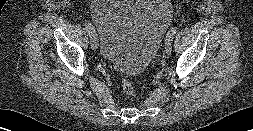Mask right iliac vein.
I'll use <instances>...</instances> for the list:
<instances>
[{
    "instance_id": "obj_1",
    "label": "right iliac vein",
    "mask_w": 253,
    "mask_h": 131,
    "mask_svg": "<svg viewBox=\"0 0 253 131\" xmlns=\"http://www.w3.org/2000/svg\"><path fill=\"white\" fill-rule=\"evenodd\" d=\"M90 39H91V48L92 50H96L98 47V40L97 35L94 30L90 33Z\"/></svg>"
}]
</instances>
